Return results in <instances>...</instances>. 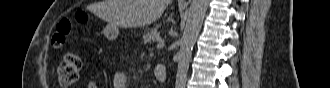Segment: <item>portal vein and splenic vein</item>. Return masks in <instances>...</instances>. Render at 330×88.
I'll list each match as a JSON object with an SVG mask.
<instances>
[{
    "label": "portal vein and splenic vein",
    "mask_w": 330,
    "mask_h": 88,
    "mask_svg": "<svg viewBox=\"0 0 330 88\" xmlns=\"http://www.w3.org/2000/svg\"><path fill=\"white\" fill-rule=\"evenodd\" d=\"M164 46H165V42L162 41V40H159V41H158V44H157V48H162V47H164Z\"/></svg>",
    "instance_id": "18ae733b"
}]
</instances>
